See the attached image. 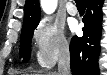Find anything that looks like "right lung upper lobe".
I'll list each match as a JSON object with an SVG mask.
<instances>
[{"label":"right lung upper lobe","instance_id":"obj_1","mask_svg":"<svg viewBox=\"0 0 107 75\" xmlns=\"http://www.w3.org/2000/svg\"><path fill=\"white\" fill-rule=\"evenodd\" d=\"M40 6L38 0H26L24 7V24L39 23Z\"/></svg>","mask_w":107,"mask_h":75}]
</instances>
